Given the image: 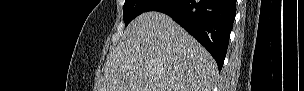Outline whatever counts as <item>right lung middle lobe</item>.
<instances>
[{
    "instance_id": "obj_1",
    "label": "right lung middle lobe",
    "mask_w": 304,
    "mask_h": 91,
    "mask_svg": "<svg viewBox=\"0 0 304 91\" xmlns=\"http://www.w3.org/2000/svg\"><path fill=\"white\" fill-rule=\"evenodd\" d=\"M154 2V0H125L123 6V18L125 25H128L135 17L143 12Z\"/></svg>"
}]
</instances>
